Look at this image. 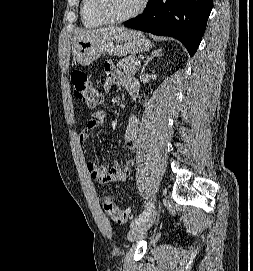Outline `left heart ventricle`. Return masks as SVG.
Instances as JSON below:
<instances>
[{"label": "left heart ventricle", "instance_id": "1", "mask_svg": "<svg viewBox=\"0 0 253 271\" xmlns=\"http://www.w3.org/2000/svg\"><path fill=\"white\" fill-rule=\"evenodd\" d=\"M141 0H105V8L113 17H122L132 12Z\"/></svg>", "mask_w": 253, "mask_h": 271}]
</instances>
